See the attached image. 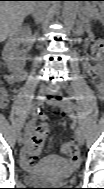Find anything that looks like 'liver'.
Returning a JSON list of instances; mask_svg holds the SVG:
<instances>
[{"label":"liver","instance_id":"6515ba94","mask_svg":"<svg viewBox=\"0 0 104 189\" xmlns=\"http://www.w3.org/2000/svg\"><path fill=\"white\" fill-rule=\"evenodd\" d=\"M35 1H1L0 3V38L16 34L24 18L32 13L37 5Z\"/></svg>","mask_w":104,"mask_h":189}]
</instances>
